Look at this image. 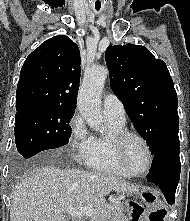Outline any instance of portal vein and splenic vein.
<instances>
[{"mask_svg":"<svg viewBox=\"0 0 190 221\" xmlns=\"http://www.w3.org/2000/svg\"><path fill=\"white\" fill-rule=\"evenodd\" d=\"M98 210L93 208L92 206H84L79 208H74L70 206L67 208L66 213L69 214L72 218H78L82 216L93 217L94 215L98 214Z\"/></svg>","mask_w":190,"mask_h":221,"instance_id":"portal-vein-and-splenic-vein-1","label":"portal vein and splenic vein"}]
</instances>
